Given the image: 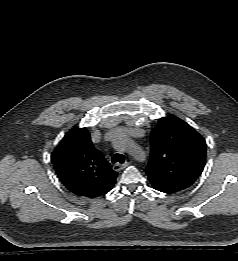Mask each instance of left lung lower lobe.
I'll return each mask as SVG.
<instances>
[{"label": "left lung lower lobe", "mask_w": 238, "mask_h": 261, "mask_svg": "<svg viewBox=\"0 0 238 261\" xmlns=\"http://www.w3.org/2000/svg\"><path fill=\"white\" fill-rule=\"evenodd\" d=\"M159 191H161V190H159ZM161 192L168 193V192H165V191H161Z\"/></svg>", "instance_id": "obj_1"}]
</instances>
